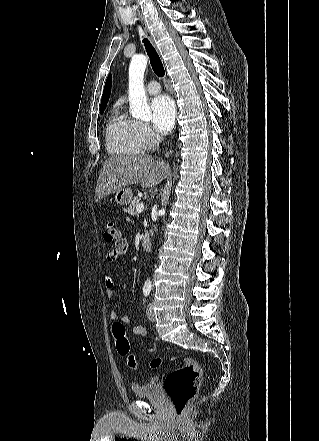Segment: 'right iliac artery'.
<instances>
[{"label": "right iliac artery", "mask_w": 319, "mask_h": 441, "mask_svg": "<svg viewBox=\"0 0 319 441\" xmlns=\"http://www.w3.org/2000/svg\"><path fill=\"white\" fill-rule=\"evenodd\" d=\"M149 293H150V290H148V289H144V290H143V294H144V296H148Z\"/></svg>", "instance_id": "obj_1"}]
</instances>
